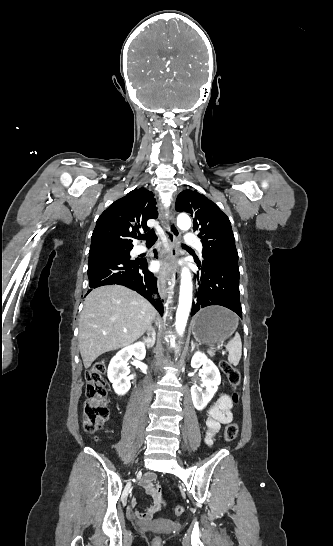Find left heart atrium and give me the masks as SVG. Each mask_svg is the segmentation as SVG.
Segmentation results:
<instances>
[{
  "mask_svg": "<svg viewBox=\"0 0 333 546\" xmlns=\"http://www.w3.org/2000/svg\"><path fill=\"white\" fill-rule=\"evenodd\" d=\"M164 267V264L163 263H160V262H157L154 264V269L159 271V270H162Z\"/></svg>",
  "mask_w": 333,
  "mask_h": 546,
  "instance_id": "left-heart-atrium-1",
  "label": "left heart atrium"
}]
</instances>
